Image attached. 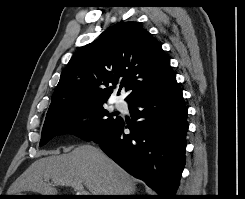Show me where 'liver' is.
Returning a JSON list of instances; mask_svg holds the SVG:
<instances>
[{
  "mask_svg": "<svg viewBox=\"0 0 245 199\" xmlns=\"http://www.w3.org/2000/svg\"><path fill=\"white\" fill-rule=\"evenodd\" d=\"M81 182L91 195H132L135 180L101 150L81 145L68 154L47 156L35 161L12 184L9 193L25 191L56 195L52 183Z\"/></svg>",
  "mask_w": 245,
  "mask_h": 199,
  "instance_id": "6515ba94",
  "label": "liver"
}]
</instances>
